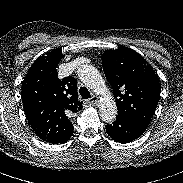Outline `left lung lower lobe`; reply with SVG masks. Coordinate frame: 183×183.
<instances>
[{"mask_svg":"<svg viewBox=\"0 0 183 183\" xmlns=\"http://www.w3.org/2000/svg\"><path fill=\"white\" fill-rule=\"evenodd\" d=\"M148 124L118 116L113 124L106 125L108 135L119 143H129L140 137Z\"/></svg>","mask_w":183,"mask_h":183,"instance_id":"obj_1","label":"left lung lower lobe"}]
</instances>
